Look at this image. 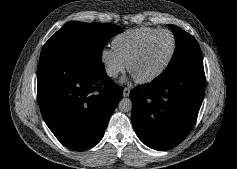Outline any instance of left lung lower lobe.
<instances>
[{"label":"left lung lower lobe","instance_id":"left-lung-lower-lobe-1","mask_svg":"<svg viewBox=\"0 0 237 169\" xmlns=\"http://www.w3.org/2000/svg\"><path fill=\"white\" fill-rule=\"evenodd\" d=\"M205 93L203 65L160 75L130 92L132 124L139 139L155 150L182 142L196 122Z\"/></svg>","mask_w":237,"mask_h":169}]
</instances>
